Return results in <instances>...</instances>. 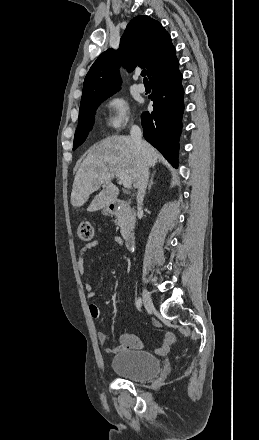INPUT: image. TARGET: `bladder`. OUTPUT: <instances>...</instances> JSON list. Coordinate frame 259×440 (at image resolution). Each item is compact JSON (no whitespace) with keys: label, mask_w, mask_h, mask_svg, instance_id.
Listing matches in <instances>:
<instances>
[{"label":"bladder","mask_w":259,"mask_h":440,"mask_svg":"<svg viewBox=\"0 0 259 440\" xmlns=\"http://www.w3.org/2000/svg\"><path fill=\"white\" fill-rule=\"evenodd\" d=\"M111 367L114 373L122 378L145 381L161 371V362L156 356L144 350H124L114 355Z\"/></svg>","instance_id":"obj_1"}]
</instances>
